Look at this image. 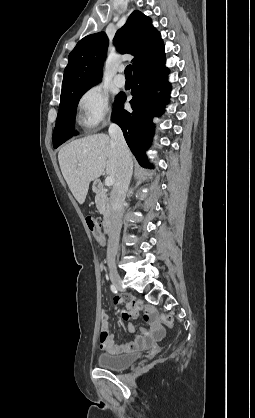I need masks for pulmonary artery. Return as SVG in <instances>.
Masks as SVG:
<instances>
[{"label": "pulmonary artery", "instance_id": "pulmonary-artery-1", "mask_svg": "<svg viewBox=\"0 0 255 418\" xmlns=\"http://www.w3.org/2000/svg\"><path fill=\"white\" fill-rule=\"evenodd\" d=\"M123 70H124L123 67H119V69H118L119 73L114 78L115 84L119 87H123L126 83V79H125L124 75L122 74Z\"/></svg>", "mask_w": 255, "mask_h": 418}]
</instances>
